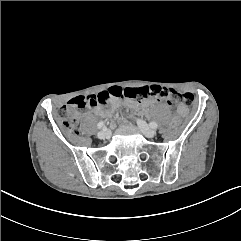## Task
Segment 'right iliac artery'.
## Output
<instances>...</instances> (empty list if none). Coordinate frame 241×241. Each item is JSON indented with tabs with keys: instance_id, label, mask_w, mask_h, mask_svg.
<instances>
[{
	"instance_id": "obj_1",
	"label": "right iliac artery",
	"mask_w": 241,
	"mask_h": 241,
	"mask_svg": "<svg viewBox=\"0 0 241 241\" xmlns=\"http://www.w3.org/2000/svg\"><path fill=\"white\" fill-rule=\"evenodd\" d=\"M105 126L104 122L103 121H100L98 124H97V128L101 129Z\"/></svg>"
}]
</instances>
